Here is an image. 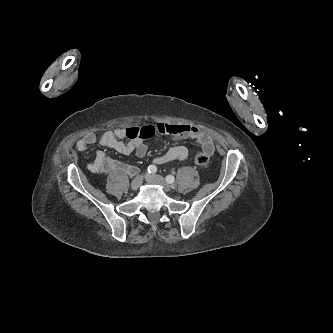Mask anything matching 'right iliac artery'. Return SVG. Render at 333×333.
Instances as JSON below:
<instances>
[{
	"instance_id": "1",
	"label": "right iliac artery",
	"mask_w": 333,
	"mask_h": 333,
	"mask_svg": "<svg viewBox=\"0 0 333 333\" xmlns=\"http://www.w3.org/2000/svg\"><path fill=\"white\" fill-rule=\"evenodd\" d=\"M157 171V167L155 165H150L148 167V172L149 173H155Z\"/></svg>"
}]
</instances>
